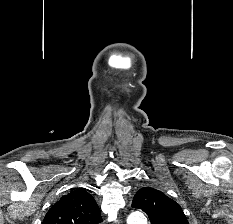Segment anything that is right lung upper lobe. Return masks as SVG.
Wrapping results in <instances>:
<instances>
[{
  "mask_svg": "<svg viewBox=\"0 0 233 224\" xmlns=\"http://www.w3.org/2000/svg\"><path fill=\"white\" fill-rule=\"evenodd\" d=\"M101 221L94 198L84 189H77L56 202L42 224H99Z\"/></svg>",
  "mask_w": 233,
  "mask_h": 224,
  "instance_id": "right-lung-upper-lobe-1",
  "label": "right lung upper lobe"
}]
</instances>
